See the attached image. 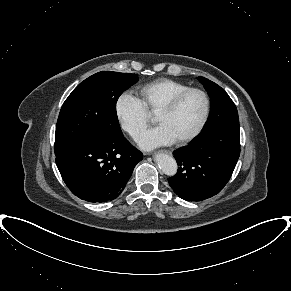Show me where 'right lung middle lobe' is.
Masks as SVG:
<instances>
[{
  "instance_id": "obj_1",
  "label": "right lung middle lobe",
  "mask_w": 291,
  "mask_h": 291,
  "mask_svg": "<svg viewBox=\"0 0 291 291\" xmlns=\"http://www.w3.org/2000/svg\"><path fill=\"white\" fill-rule=\"evenodd\" d=\"M138 81L131 73L102 71L81 82L64 102L57 121L55 155L85 140L122 134L116 102Z\"/></svg>"
}]
</instances>
